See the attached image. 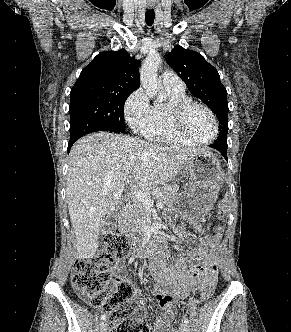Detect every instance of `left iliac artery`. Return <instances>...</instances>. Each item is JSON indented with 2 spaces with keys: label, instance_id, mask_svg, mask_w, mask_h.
Wrapping results in <instances>:
<instances>
[{
  "label": "left iliac artery",
  "instance_id": "1",
  "mask_svg": "<svg viewBox=\"0 0 291 332\" xmlns=\"http://www.w3.org/2000/svg\"><path fill=\"white\" fill-rule=\"evenodd\" d=\"M184 323L188 324L189 323V319L187 317H184L183 319Z\"/></svg>",
  "mask_w": 291,
  "mask_h": 332
}]
</instances>
